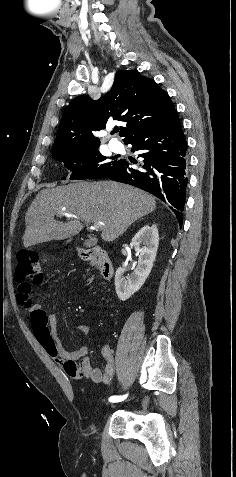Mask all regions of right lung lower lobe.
I'll list each match as a JSON object with an SVG mask.
<instances>
[{"label":"right lung lower lobe","mask_w":236,"mask_h":477,"mask_svg":"<svg viewBox=\"0 0 236 477\" xmlns=\"http://www.w3.org/2000/svg\"><path fill=\"white\" fill-rule=\"evenodd\" d=\"M125 143L141 151V168L134 169L128 161L120 160L106 178L136 186L170 203L181 224L187 186V142L177 112L162 125L138 133Z\"/></svg>","instance_id":"1"}]
</instances>
